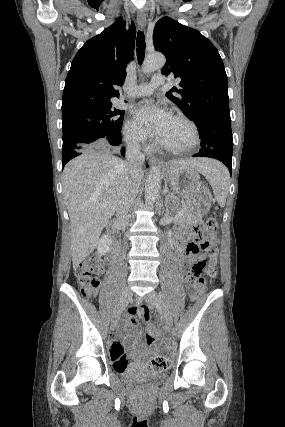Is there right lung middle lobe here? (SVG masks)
<instances>
[{
    "instance_id": "right-lung-middle-lobe-1",
    "label": "right lung middle lobe",
    "mask_w": 285,
    "mask_h": 427,
    "mask_svg": "<svg viewBox=\"0 0 285 427\" xmlns=\"http://www.w3.org/2000/svg\"><path fill=\"white\" fill-rule=\"evenodd\" d=\"M123 119L124 111L112 104L63 117V153L83 144L89 148L118 146Z\"/></svg>"
}]
</instances>
